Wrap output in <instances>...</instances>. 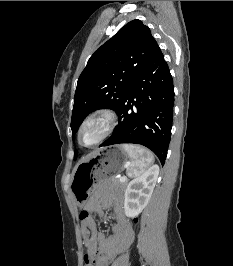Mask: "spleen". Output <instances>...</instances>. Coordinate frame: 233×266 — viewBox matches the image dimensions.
I'll use <instances>...</instances> for the list:
<instances>
[{
	"mask_svg": "<svg viewBox=\"0 0 233 266\" xmlns=\"http://www.w3.org/2000/svg\"><path fill=\"white\" fill-rule=\"evenodd\" d=\"M121 146L129 155L127 175L131 178L141 176L154 162L152 153L141 146L132 144H122Z\"/></svg>",
	"mask_w": 233,
	"mask_h": 266,
	"instance_id": "obj_1",
	"label": "spleen"
}]
</instances>
